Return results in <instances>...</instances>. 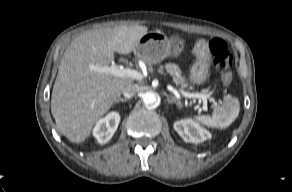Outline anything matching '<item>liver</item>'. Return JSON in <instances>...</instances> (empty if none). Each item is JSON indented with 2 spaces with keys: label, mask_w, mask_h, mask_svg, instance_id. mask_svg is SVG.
Returning a JSON list of instances; mask_svg holds the SVG:
<instances>
[{
  "label": "liver",
  "mask_w": 292,
  "mask_h": 192,
  "mask_svg": "<svg viewBox=\"0 0 292 192\" xmlns=\"http://www.w3.org/2000/svg\"><path fill=\"white\" fill-rule=\"evenodd\" d=\"M147 32L139 25L101 28L77 36L67 47L53 85L51 113L60 133L71 142L85 141L126 85L133 83L94 67L109 66L115 52L131 53Z\"/></svg>",
  "instance_id": "1"
}]
</instances>
